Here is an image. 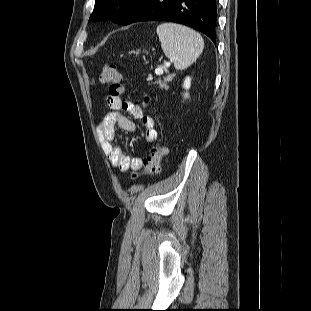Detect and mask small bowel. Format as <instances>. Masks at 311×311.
<instances>
[{
  "label": "small bowel",
  "instance_id": "c3829d8e",
  "mask_svg": "<svg viewBox=\"0 0 311 311\" xmlns=\"http://www.w3.org/2000/svg\"><path fill=\"white\" fill-rule=\"evenodd\" d=\"M106 102L111 111L104 115L97 126L103 149L114 168L122 172L138 171L143 166V159L125 155L120 147L115 144L116 127L125 131L135 130L134 123L124 114L126 111L134 118L142 120L145 127V141L151 143L158 137L156 121L152 116L145 115L142 108L130 100L108 95Z\"/></svg>",
  "mask_w": 311,
  "mask_h": 311
}]
</instances>
